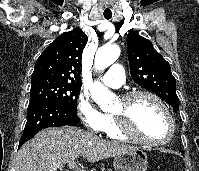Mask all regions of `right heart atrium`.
<instances>
[{"label":"right heart atrium","mask_w":199,"mask_h":171,"mask_svg":"<svg viewBox=\"0 0 199 171\" xmlns=\"http://www.w3.org/2000/svg\"><path fill=\"white\" fill-rule=\"evenodd\" d=\"M76 110L82 123L92 132L103 131L106 125V114L93 104L89 96L80 92L76 101Z\"/></svg>","instance_id":"obj_1"}]
</instances>
